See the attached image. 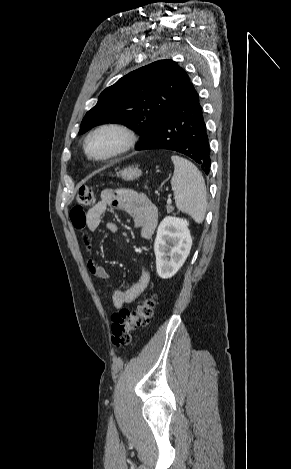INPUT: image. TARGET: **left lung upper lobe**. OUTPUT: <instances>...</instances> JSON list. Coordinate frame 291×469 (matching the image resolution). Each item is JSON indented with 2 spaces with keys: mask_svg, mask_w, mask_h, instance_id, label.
Returning <instances> with one entry per match:
<instances>
[{
  "mask_svg": "<svg viewBox=\"0 0 291 469\" xmlns=\"http://www.w3.org/2000/svg\"><path fill=\"white\" fill-rule=\"evenodd\" d=\"M189 85L188 74L173 60L141 67L100 94L79 134L100 124L120 123L137 131L142 144Z\"/></svg>",
  "mask_w": 291,
  "mask_h": 469,
  "instance_id": "left-lung-upper-lobe-1",
  "label": "left lung upper lobe"
}]
</instances>
